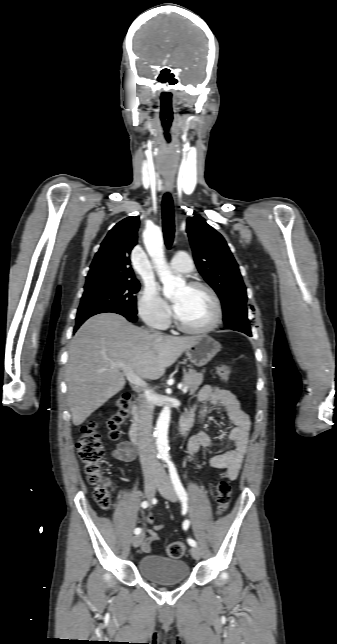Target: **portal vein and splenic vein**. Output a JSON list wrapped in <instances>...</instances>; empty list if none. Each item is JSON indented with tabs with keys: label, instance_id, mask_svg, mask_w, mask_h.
Instances as JSON below:
<instances>
[{
	"label": "portal vein and splenic vein",
	"instance_id": "portal-vein-and-splenic-vein-1",
	"mask_svg": "<svg viewBox=\"0 0 337 644\" xmlns=\"http://www.w3.org/2000/svg\"><path fill=\"white\" fill-rule=\"evenodd\" d=\"M114 366H117V367H121V368H122V370H123V371H124V373H125V376H126L127 380H128L130 383H132V384H134V385H136V386H138V387H143V386H145V385H146V383H145V382H144L140 377H138V376H137V375H136V374H135V373H134V372L129 368V366L125 365L124 363H115V364H114ZM182 391H183V393H187L188 388H187L186 386H184V387L182 388Z\"/></svg>",
	"mask_w": 337,
	"mask_h": 644
}]
</instances>
